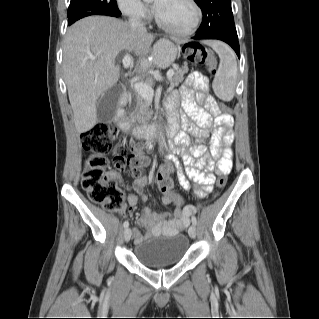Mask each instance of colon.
I'll use <instances>...</instances> for the list:
<instances>
[{
  "label": "colon",
  "instance_id": "1",
  "mask_svg": "<svg viewBox=\"0 0 319 319\" xmlns=\"http://www.w3.org/2000/svg\"><path fill=\"white\" fill-rule=\"evenodd\" d=\"M184 57L194 64H207L214 71L215 59L202 46L185 44L183 46ZM228 106L214 101L210 104V112L217 114L221 111H228ZM117 129L111 122H104L96 125L82 137L83 147L92 153L84 165L82 185L88 194L89 199L101 205L111 213L122 212L125 208L123 192L117 187L115 178L108 169V162L105 155L113 152L116 169L127 170L131 173H142L149 164V160L141 152L128 150L124 145H113ZM171 181L168 178L160 177L159 186L167 191L171 188ZM226 185V178L220 177L217 180V187L223 189Z\"/></svg>",
  "mask_w": 319,
  "mask_h": 319
}]
</instances>
